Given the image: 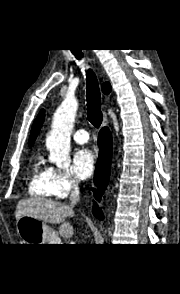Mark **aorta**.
Returning a JSON list of instances; mask_svg holds the SVG:
<instances>
[{
    "label": "aorta",
    "instance_id": "762f6f07",
    "mask_svg": "<svg viewBox=\"0 0 180 294\" xmlns=\"http://www.w3.org/2000/svg\"><path fill=\"white\" fill-rule=\"evenodd\" d=\"M77 108L78 101L75 98H66L57 109L51 132L46 138L50 160L58 167H62L70 157V137Z\"/></svg>",
    "mask_w": 180,
    "mask_h": 294
}]
</instances>
